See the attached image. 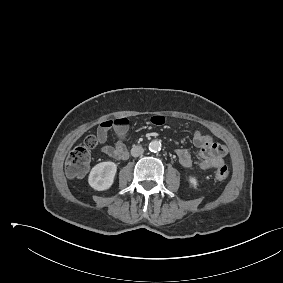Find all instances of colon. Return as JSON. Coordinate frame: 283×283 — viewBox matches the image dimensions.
Returning <instances> with one entry per match:
<instances>
[{"instance_id":"1","label":"colon","mask_w":283,"mask_h":283,"mask_svg":"<svg viewBox=\"0 0 283 283\" xmlns=\"http://www.w3.org/2000/svg\"><path fill=\"white\" fill-rule=\"evenodd\" d=\"M97 143V138L90 135L82 144L70 151L66 159V172L70 177H79L87 173L90 166V151L97 146ZM228 175V168L224 165L215 172V177L219 181L226 180Z\"/></svg>"}]
</instances>
